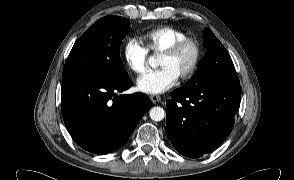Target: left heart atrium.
Returning a JSON list of instances; mask_svg holds the SVG:
<instances>
[{
    "label": "left heart atrium",
    "mask_w": 294,
    "mask_h": 180,
    "mask_svg": "<svg viewBox=\"0 0 294 180\" xmlns=\"http://www.w3.org/2000/svg\"><path fill=\"white\" fill-rule=\"evenodd\" d=\"M178 81V77L168 68L148 71L137 80V89L146 94L158 95L168 91Z\"/></svg>",
    "instance_id": "1"
}]
</instances>
